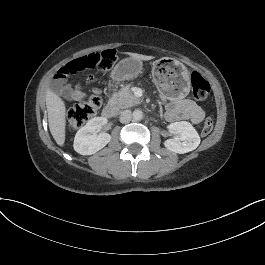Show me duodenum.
<instances>
[{
  "label": "duodenum",
  "mask_w": 265,
  "mask_h": 265,
  "mask_svg": "<svg viewBox=\"0 0 265 265\" xmlns=\"http://www.w3.org/2000/svg\"><path fill=\"white\" fill-rule=\"evenodd\" d=\"M116 114L117 107L113 102L107 103L102 110V116L107 119L113 118Z\"/></svg>",
  "instance_id": "duodenum-1"
}]
</instances>
